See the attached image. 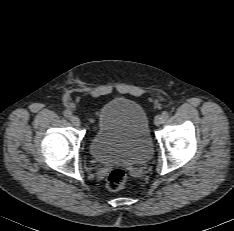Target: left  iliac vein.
Listing matches in <instances>:
<instances>
[{
    "instance_id": "1",
    "label": "left iliac vein",
    "mask_w": 234,
    "mask_h": 231,
    "mask_svg": "<svg viewBox=\"0 0 234 231\" xmlns=\"http://www.w3.org/2000/svg\"><path fill=\"white\" fill-rule=\"evenodd\" d=\"M162 121H163L162 115H157V116L155 117V119H154V124H155L156 126H159L160 124H162Z\"/></svg>"
}]
</instances>
